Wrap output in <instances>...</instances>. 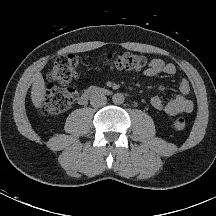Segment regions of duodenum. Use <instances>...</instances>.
<instances>
[{
	"label": "duodenum",
	"instance_id": "obj_1",
	"mask_svg": "<svg viewBox=\"0 0 216 216\" xmlns=\"http://www.w3.org/2000/svg\"><path fill=\"white\" fill-rule=\"evenodd\" d=\"M109 94V90L105 88L91 87L82 93L79 103L85 104L92 96Z\"/></svg>",
	"mask_w": 216,
	"mask_h": 216
}]
</instances>
